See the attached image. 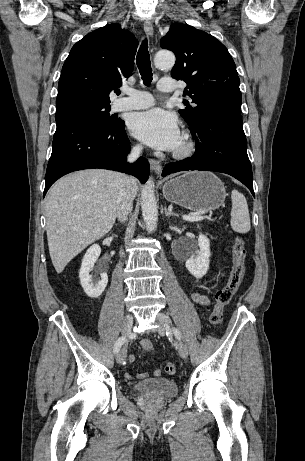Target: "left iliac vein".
Here are the masks:
<instances>
[{"instance_id": "4c4485c4", "label": "left iliac vein", "mask_w": 305, "mask_h": 461, "mask_svg": "<svg viewBox=\"0 0 305 461\" xmlns=\"http://www.w3.org/2000/svg\"><path fill=\"white\" fill-rule=\"evenodd\" d=\"M156 323L158 325V333L161 336H165L167 332L170 330L171 320L170 318L164 313H158L156 316ZM177 349L180 356L185 359L188 355L187 346L182 342L178 341Z\"/></svg>"}]
</instances>
